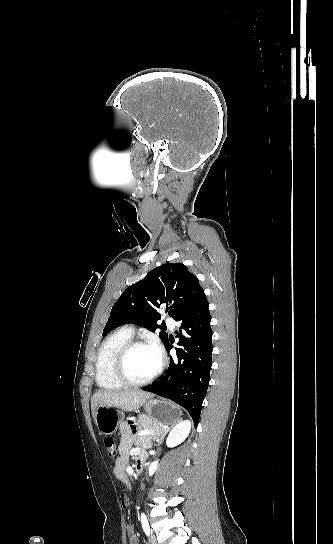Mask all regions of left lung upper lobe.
<instances>
[{
	"label": "left lung upper lobe",
	"instance_id": "obj_1",
	"mask_svg": "<svg viewBox=\"0 0 333 544\" xmlns=\"http://www.w3.org/2000/svg\"><path fill=\"white\" fill-rule=\"evenodd\" d=\"M203 292L197 277L184 264L165 263L122 293L112 307L103 335L127 323L154 332L160 328L159 308L164 307L175 319ZM159 337L164 345L169 340L165 332H160Z\"/></svg>",
	"mask_w": 333,
	"mask_h": 544
}]
</instances>
